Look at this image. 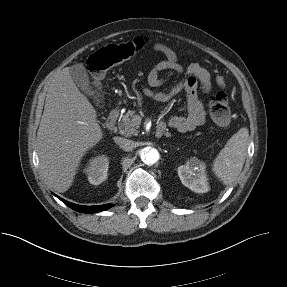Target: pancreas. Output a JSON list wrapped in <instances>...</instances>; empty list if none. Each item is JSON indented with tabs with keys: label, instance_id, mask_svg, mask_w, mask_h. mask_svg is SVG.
I'll list each match as a JSON object with an SVG mask.
<instances>
[{
	"label": "pancreas",
	"instance_id": "1",
	"mask_svg": "<svg viewBox=\"0 0 287 287\" xmlns=\"http://www.w3.org/2000/svg\"><path fill=\"white\" fill-rule=\"evenodd\" d=\"M134 116V110H128L125 114L121 115V120L119 121V130L122 135L130 137L139 133V124L133 120Z\"/></svg>",
	"mask_w": 287,
	"mask_h": 287
}]
</instances>
